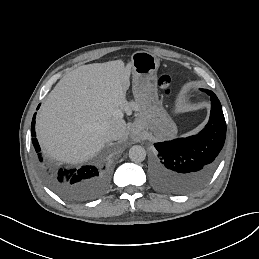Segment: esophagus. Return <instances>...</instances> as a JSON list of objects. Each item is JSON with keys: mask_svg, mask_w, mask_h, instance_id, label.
Segmentation results:
<instances>
[{"mask_svg": "<svg viewBox=\"0 0 259 259\" xmlns=\"http://www.w3.org/2000/svg\"><path fill=\"white\" fill-rule=\"evenodd\" d=\"M130 138L134 142H139L144 138L142 128L139 124H133L131 132H130Z\"/></svg>", "mask_w": 259, "mask_h": 259, "instance_id": "34e87169", "label": "esophagus"}]
</instances>
